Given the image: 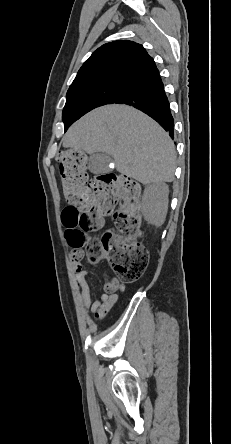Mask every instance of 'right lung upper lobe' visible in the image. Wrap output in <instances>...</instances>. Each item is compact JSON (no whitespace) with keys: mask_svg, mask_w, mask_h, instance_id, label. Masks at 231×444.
<instances>
[{"mask_svg":"<svg viewBox=\"0 0 231 444\" xmlns=\"http://www.w3.org/2000/svg\"><path fill=\"white\" fill-rule=\"evenodd\" d=\"M159 77V71L144 47L133 41L102 45L84 62L69 90L105 83L123 84L131 89Z\"/></svg>","mask_w":231,"mask_h":444,"instance_id":"cb5924a9","label":"right lung upper lobe"}]
</instances>
